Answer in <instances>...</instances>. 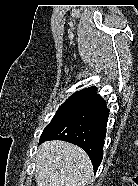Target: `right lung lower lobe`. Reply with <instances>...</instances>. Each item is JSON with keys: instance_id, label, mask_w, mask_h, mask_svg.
Returning a JSON list of instances; mask_svg holds the SVG:
<instances>
[{"instance_id": "right-lung-lower-lobe-1", "label": "right lung lower lobe", "mask_w": 138, "mask_h": 186, "mask_svg": "<svg viewBox=\"0 0 138 186\" xmlns=\"http://www.w3.org/2000/svg\"><path fill=\"white\" fill-rule=\"evenodd\" d=\"M91 100L58 123L50 132L40 138L63 140L81 147L90 157L94 172L103 158V144L109 110L106 102L96 91H92Z\"/></svg>"}]
</instances>
